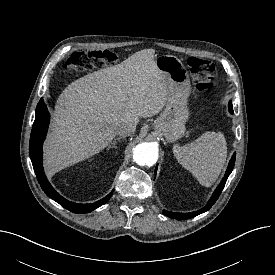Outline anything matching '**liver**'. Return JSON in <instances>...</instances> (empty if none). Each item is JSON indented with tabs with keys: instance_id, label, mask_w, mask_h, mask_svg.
<instances>
[{
	"instance_id": "6515ba94",
	"label": "liver",
	"mask_w": 275,
	"mask_h": 275,
	"mask_svg": "<svg viewBox=\"0 0 275 275\" xmlns=\"http://www.w3.org/2000/svg\"><path fill=\"white\" fill-rule=\"evenodd\" d=\"M155 50L134 53L118 65L83 76L60 94L44 144L49 171L80 162L106 148L120 123L158 114L168 100Z\"/></svg>"
}]
</instances>
